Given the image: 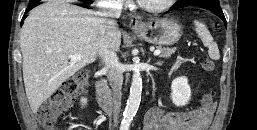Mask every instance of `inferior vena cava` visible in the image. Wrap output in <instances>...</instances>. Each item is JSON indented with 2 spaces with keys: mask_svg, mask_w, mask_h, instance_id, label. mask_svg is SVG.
<instances>
[{
  "mask_svg": "<svg viewBox=\"0 0 257 130\" xmlns=\"http://www.w3.org/2000/svg\"><path fill=\"white\" fill-rule=\"evenodd\" d=\"M122 3L120 0H113L111 6L100 13L105 17L102 20L101 39H100V57L107 71V78L113 90L112 111L114 127L118 125V117L121 109V89L123 83V74L121 64L114 50V36L118 30L115 22L116 18L121 15Z\"/></svg>",
  "mask_w": 257,
  "mask_h": 130,
  "instance_id": "602c4592",
  "label": "inferior vena cava"
}]
</instances>
